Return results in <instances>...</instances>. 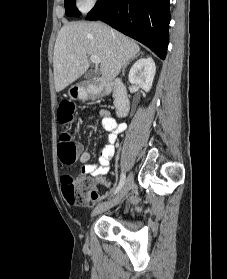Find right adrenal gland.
<instances>
[{
	"label": "right adrenal gland",
	"mask_w": 227,
	"mask_h": 279,
	"mask_svg": "<svg viewBox=\"0 0 227 279\" xmlns=\"http://www.w3.org/2000/svg\"><path fill=\"white\" fill-rule=\"evenodd\" d=\"M140 54H143L142 52ZM137 56L133 57L132 59H130L129 61H127L124 66H123V69H122V73L123 75L125 74V68L127 67V65L133 60L135 59Z\"/></svg>",
	"instance_id": "obj_1"
}]
</instances>
